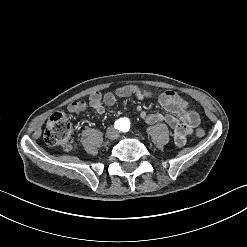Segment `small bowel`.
I'll return each instance as SVG.
<instances>
[{
	"label": "small bowel",
	"mask_w": 247,
	"mask_h": 247,
	"mask_svg": "<svg viewBox=\"0 0 247 247\" xmlns=\"http://www.w3.org/2000/svg\"><path fill=\"white\" fill-rule=\"evenodd\" d=\"M137 88V85L128 84L116 88L115 92H107L104 95L95 92L89 100L72 102L67 109L70 113L79 114L91 108L102 114L106 106L115 105L117 97L132 96L141 100L137 95ZM159 103L168 112L167 114L149 113L139 106L137 111L140 118L147 124L165 122L174 132L175 145L179 148L183 147L191 130L200 126V115L194 110L188 109L187 102L173 91L162 93L159 97Z\"/></svg>",
	"instance_id": "1"
}]
</instances>
